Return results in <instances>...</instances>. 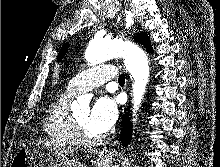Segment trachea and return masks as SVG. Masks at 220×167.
Segmentation results:
<instances>
[{"label":"trachea","instance_id":"1","mask_svg":"<svg viewBox=\"0 0 220 167\" xmlns=\"http://www.w3.org/2000/svg\"><path fill=\"white\" fill-rule=\"evenodd\" d=\"M118 82H119V84H124L125 83V75H124V73L119 76Z\"/></svg>","mask_w":220,"mask_h":167}]
</instances>
